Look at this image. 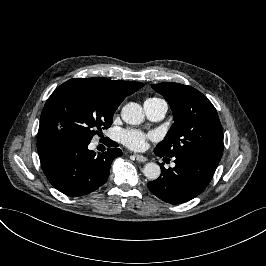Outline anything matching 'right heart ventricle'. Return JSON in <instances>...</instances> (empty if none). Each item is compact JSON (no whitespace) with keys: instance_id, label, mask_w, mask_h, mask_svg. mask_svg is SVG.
<instances>
[{"instance_id":"e07e8e85","label":"right heart ventricle","mask_w":266,"mask_h":266,"mask_svg":"<svg viewBox=\"0 0 266 266\" xmlns=\"http://www.w3.org/2000/svg\"><path fill=\"white\" fill-rule=\"evenodd\" d=\"M156 98H158V97H151V98H148L147 100H149V99H156Z\"/></svg>"}]
</instances>
